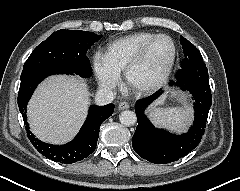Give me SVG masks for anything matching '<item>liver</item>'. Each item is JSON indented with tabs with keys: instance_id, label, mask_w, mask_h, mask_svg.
I'll return each mask as SVG.
<instances>
[{
	"instance_id": "1",
	"label": "liver",
	"mask_w": 240,
	"mask_h": 191,
	"mask_svg": "<svg viewBox=\"0 0 240 191\" xmlns=\"http://www.w3.org/2000/svg\"><path fill=\"white\" fill-rule=\"evenodd\" d=\"M89 97V87L84 79L76 76L46 79L28 105L32 132L47 143L70 141L85 121Z\"/></svg>"
}]
</instances>
